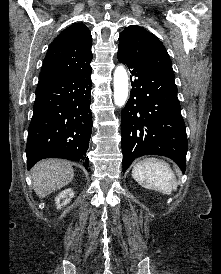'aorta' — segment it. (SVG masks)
Returning a JSON list of instances; mask_svg holds the SVG:
<instances>
[{
	"label": "aorta",
	"instance_id": "762f6f07",
	"mask_svg": "<svg viewBox=\"0 0 221 274\" xmlns=\"http://www.w3.org/2000/svg\"><path fill=\"white\" fill-rule=\"evenodd\" d=\"M128 75L123 66H117L114 71V103L118 107L125 105L128 98Z\"/></svg>",
	"mask_w": 221,
	"mask_h": 274
}]
</instances>
